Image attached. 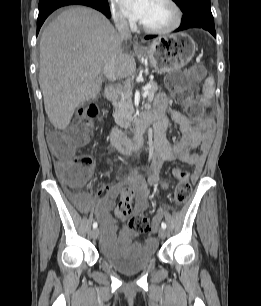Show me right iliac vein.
<instances>
[{
    "label": "right iliac vein",
    "mask_w": 261,
    "mask_h": 306,
    "mask_svg": "<svg viewBox=\"0 0 261 306\" xmlns=\"http://www.w3.org/2000/svg\"><path fill=\"white\" fill-rule=\"evenodd\" d=\"M91 236L94 240L97 239L98 236H99V229H97V228L93 229L92 232H91Z\"/></svg>",
    "instance_id": "obj_1"
}]
</instances>
